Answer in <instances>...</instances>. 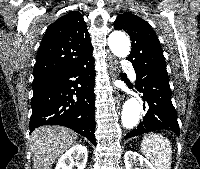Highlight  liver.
I'll use <instances>...</instances> for the list:
<instances>
[{
  "label": "liver",
  "mask_w": 200,
  "mask_h": 169,
  "mask_svg": "<svg viewBox=\"0 0 200 169\" xmlns=\"http://www.w3.org/2000/svg\"><path fill=\"white\" fill-rule=\"evenodd\" d=\"M76 141V133L62 126L49 125L35 129L30 137L34 169H51L54 161Z\"/></svg>",
  "instance_id": "1"
}]
</instances>
